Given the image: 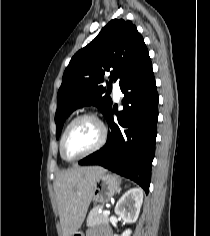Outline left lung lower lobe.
Segmentation results:
<instances>
[{
	"label": "left lung lower lobe",
	"mask_w": 210,
	"mask_h": 236,
	"mask_svg": "<svg viewBox=\"0 0 210 236\" xmlns=\"http://www.w3.org/2000/svg\"><path fill=\"white\" fill-rule=\"evenodd\" d=\"M123 110L106 117L110 126L107 143L79 162L101 165L138 183L148 194L154 158L158 118V93L149 60L121 87Z\"/></svg>",
	"instance_id": "1"
}]
</instances>
